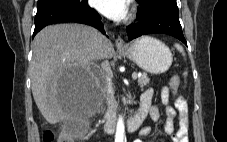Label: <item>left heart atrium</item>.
<instances>
[{"label":"left heart atrium","mask_w":227,"mask_h":142,"mask_svg":"<svg viewBox=\"0 0 227 142\" xmlns=\"http://www.w3.org/2000/svg\"><path fill=\"white\" fill-rule=\"evenodd\" d=\"M91 4L106 17L121 20L127 15L129 0H91Z\"/></svg>","instance_id":"1"}]
</instances>
